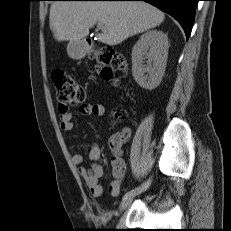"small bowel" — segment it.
<instances>
[{"label": "small bowel", "mask_w": 231, "mask_h": 231, "mask_svg": "<svg viewBox=\"0 0 231 231\" xmlns=\"http://www.w3.org/2000/svg\"><path fill=\"white\" fill-rule=\"evenodd\" d=\"M79 113L83 116L100 117L104 114V107L101 104H83L79 107ZM72 113L68 110L60 112V129L64 132L73 130ZM130 130L115 134L110 138L109 146L112 151L111 165L113 180L109 184V193L113 197L120 194L122 179L125 174V163L122 158V145L129 139ZM88 157L92 162L89 167L82 166L83 156L79 153L72 155V163L79 166L78 172L85 181L91 195L100 197L103 194V188L99 183L100 178L105 175V168L102 164L103 158L100 148L93 144L88 153Z\"/></svg>", "instance_id": "obj_1"}]
</instances>
